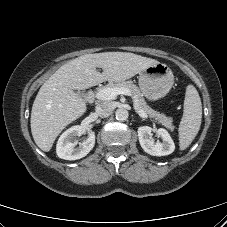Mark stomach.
<instances>
[{"label": "stomach", "instance_id": "0dacf381", "mask_svg": "<svg viewBox=\"0 0 227 227\" xmlns=\"http://www.w3.org/2000/svg\"><path fill=\"white\" fill-rule=\"evenodd\" d=\"M174 84L171 69L163 63L151 65L139 73L140 91L148 100L157 101L170 91Z\"/></svg>", "mask_w": 227, "mask_h": 227}]
</instances>
